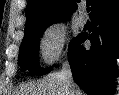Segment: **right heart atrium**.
<instances>
[{
    "label": "right heart atrium",
    "mask_w": 119,
    "mask_h": 95,
    "mask_svg": "<svg viewBox=\"0 0 119 95\" xmlns=\"http://www.w3.org/2000/svg\"><path fill=\"white\" fill-rule=\"evenodd\" d=\"M67 30L62 23L48 26L39 40V50L43 61L51 66L57 63L65 53Z\"/></svg>",
    "instance_id": "right-heart-atrium-1"
}]
</instances>
